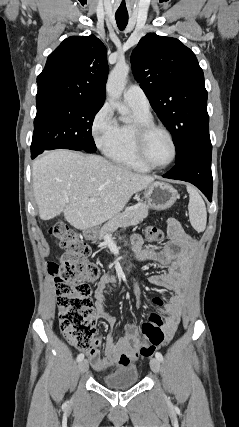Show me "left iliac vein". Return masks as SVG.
<instances>
[{
	"label": "left iliac vein",
	"instance_id": "4c4485c4",
	"mask_svg": "<svg viewBox=\"0 0 239 427\" xmlns=\"http://www.w3.org/2000/svg\"><path fill=\"white\" fill-rule=\"evenodd\" d=\"M150 367L155 374L160 372V361L157 358H152L150 360Z\"/></svg>",
	"mask_w": 239,
	"mask_h": 427
}]
</instances>
